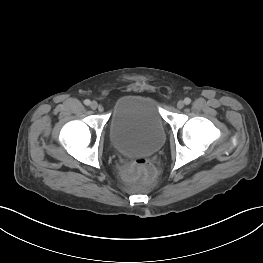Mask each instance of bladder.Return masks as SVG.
<instances>
[{"label": "bladder", "mask_w": 263, "mask_h": 263, "mask_svg": "<svg viewBox=\"0 0 263 263\" xmlns=\"http://www.w3.org/2000/svg\"><path fill=\"white\" fill-rule=\"evenodd\" d=\"M108 137L113 148L127 157L157 153L166 139L164 120L155 99L142 95H125L114 104Z\"/></svg>", "instance_id": "31cf9c89"}]
</instances>
